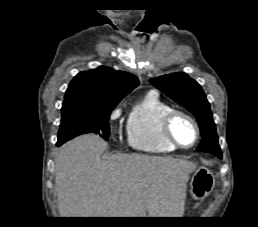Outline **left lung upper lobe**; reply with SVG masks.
<instances>
[{"label":"left lung upper lobe","instance_id":"obj_1","mask_svg":"<svg viewBox=\"0 0 258 227\" xmlns=\"http://www.w3.org/2000/svg\"><path fill=\"white\" fill-rule=\"evenodd\" d=\"M150 82L195 115L202 135L197 150L222 158L212 112L201 86L182 72L153 78Z\"/></svg>","mask_w":258,"mask_h":227}]
</instances>
